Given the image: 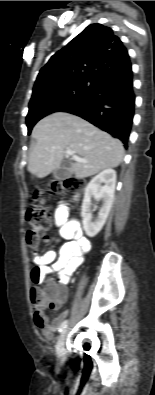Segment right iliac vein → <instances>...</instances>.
Listing matches in <instances>:
<instances>
[{"instance_id":"63e3f726","label":"right iliac vein","mask_w":155,"mask_h":395,"mask_svg":"<svg viewBox=\"0 0 155 395\" xmlns=\"http://www.w3.org/2000/svg\"><path fill=\"white\" fill-rule=\"evenodd\" d=\"M67 330L64 329L61 335L58 338L57 345H56V354L59 360L63 361L65 359V338H66Z\"/></svg>"}]
</instances>
